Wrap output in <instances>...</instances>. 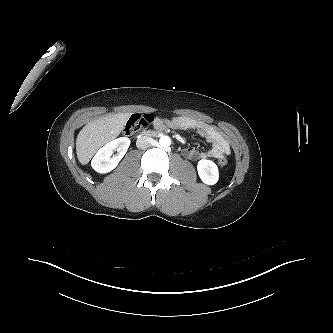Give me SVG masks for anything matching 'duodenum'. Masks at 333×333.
Here are the masks:
<instances>
[{
    "label": "duodenum",
    "instance_id": "obj_1",
    "mask_svg": "<svg viewBox=\"0 0 333 333\" xmlns=\"http://www.w3.org/2000/svg\"><path fill=\"white\" fill-rule=\"evenodd\" d=\"M157 133L159 132H153V131H142L138 134L137 136V141L139 143L145 141V140H148V139H151L153 138L155 135H157Z\"/></svg>",
    "mask_w": 333,
    "mask_h": 333
}]
</instances>
